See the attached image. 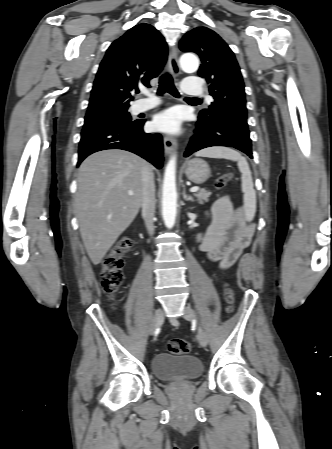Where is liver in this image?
<instances>
[{"label":"liver","mask_w":332,"mask_h":449,"mask_svg":"<svg viewBox=\"0 0 332 449\" xmlns=\"http://www.w3.org/2000/svg\"><path fill=\"white\" fill-rule=\"evenodd\" d=\"M147 165L123 150L96 152L80 165L75 211L94 265L102 261L137 216L142 204V169Z\"/></svg>","instance_id":"6515ba94"}]
</instances>
